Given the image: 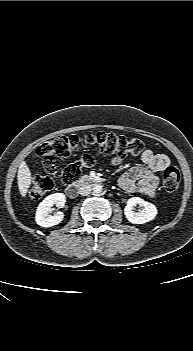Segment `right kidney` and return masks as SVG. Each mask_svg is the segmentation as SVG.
<instances>
[{"instance_id": "1", "label": "right kidney", "mask_w": 193, "mask_h": 351, "mask_svg": "<svg viewBox=\"0 0 193 351\" xmlns=\"http://www.w3.org/2000/svg\"><path fill=\"white\" fill-rule=\"evenodd\" d=\"M66 196L63 193H54L47 196L37 207L35 221L39 226L52 227L59 224L64 215L62 212H57L54 216L49 213L52 211V206L62 208L65 205Z\"/></svg>"}]
</instances>
